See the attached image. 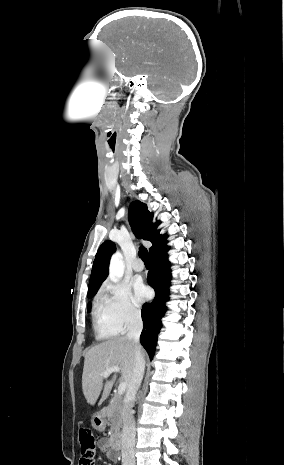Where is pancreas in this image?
<instances>
[{"instance_id":"1","label":"pancreas","mask_w":284,"mask_h":465,"mask_svg":"<svg viewBox=\"0 0 284 465\" xmlns=\"http://www.w3.org/2000/svg\"><path fill=\"white\" fill-rule=\"evenodd\" d=\"M122 399L121 397H113L110 401V405L107 407L106 417H108L111 425V441H116L120 435V429L122 427Z\"/></svg>"}]
</instances>
